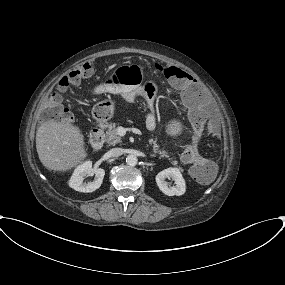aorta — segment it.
Segmentation results:
<instances>
[{
  "label": "aorta",
  "mask_w": 285,
  "mask_h": 285,
  "mask_svg": "<svg viewBox=\"0 0 285 285\" xmlns=\"http://www.w3.org/2000/svg\"><path fill=\"white\" fill-rule=\"evenodd\" d=\"M126 163L129 166H136L138 163V159L135 155L130 154L126 157Z\"/></svg>",
  "instance_id": "obj_1"
}]
</instances>
